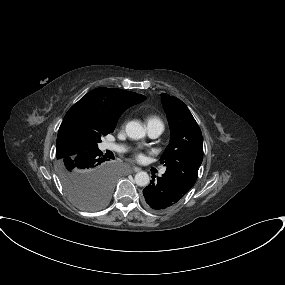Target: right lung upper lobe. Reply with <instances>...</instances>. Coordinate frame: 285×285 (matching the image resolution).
<instances>
[{"label": "right lung upper lobe", "instance_id": "cb5924a9", "mask_svg": "<svg viewBox=\"0 0 285 285\" xmlns=\"http://www.w3.org/2000/svg\"><path fill=\"white\" fill-rule=\"evenodd\" d=\"M145 99L121 89L97 88L87 93L66 113L58 131L56 154L72 157L88 150L93 136L113 132L120 115Z\"/></svg>", "mask_w": 285, "mask_h": 285}]
</instances>
